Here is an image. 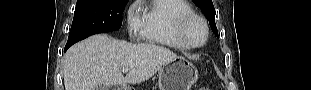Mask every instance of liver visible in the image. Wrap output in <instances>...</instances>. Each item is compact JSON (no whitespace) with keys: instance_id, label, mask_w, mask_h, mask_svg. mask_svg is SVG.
I'll return each mask as SVG.
<instances>
[{"instance_id":"obj_1","label":"liver","mask_w":311,"mask_h":90,"mask_svg":"<svg viewBox=\"0 0 311 90\" xmlns=\"http://www.w3.org/2000/svg\"><path fill=\"white\" fill-rule=\"evenodd\" d=\"M163 46L132 44L107 35H94L73 45L64 56L65 90H96L99 84H139L175 59ZM129 68L124 77L121 70Z\"/></svg>"}]
</instances>
